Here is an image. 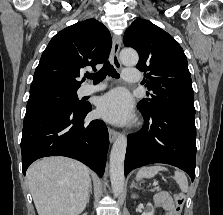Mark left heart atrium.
<instances>
[{
	"label": "left heart atrium",
	"mask_w": 223,
	"mask_h": 215,
	"mask_svg": "<svg viewBox=\"0 0 223 215\" xmlns=\"http://www.w3.org/2000/svg\"><path fill=\"white\" fill-rule=\"evenodd\" d=\"M98 111L111 122L124 123L131 117L132 100L125 90L116 89L99 99Z\"/></svg>",
	"instance_id": "obj_1"
}]
</instances>
